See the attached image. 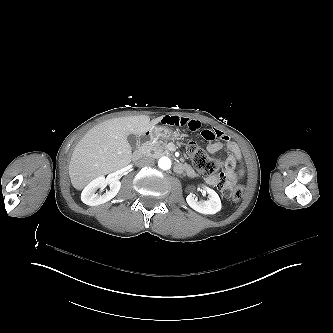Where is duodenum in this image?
Wrapping results in <instances>:
<instances>
[{
	"instance_id": "410a0bca",
	"label": "duodenum",
	"mask_w": 333,
	"mask_h": 333,
	"mask_svg": "<svg viewBox=\"0 0 333 333\" xmlns=\"http://www.w3.org/2000/svg\"><path fill=\"white\" fill-rule=\"evenodd\" d=\"M151 135H152V132L150 130H147L141 134V136L139 138L138 148L133 154L134 160H138L142 156V154L146 148V145L151 138ZM175 170L179 173H186L189 176L195 175L194 170L190 166L183 164V163H176Z\"/></svg>"
}]
</instances>
